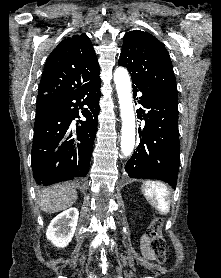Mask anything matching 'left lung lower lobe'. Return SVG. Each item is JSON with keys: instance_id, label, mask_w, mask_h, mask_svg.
Listing matches in <instances>:
<instances>
[{"instance_id": "obj_1", "label": "left lung lower lobe", "mask_w": 221, "mask_h": 278, "mask_svg": "<svg viewBox=\"0 0 221 278\" xmlns=\"http://www.w3.org/2000/svg\"><path fill=\"white\" fill-rule=\"evenodd\" d=\"M132 86L134 96L142 92L137 118L145 126L125 171L131 178L163 180L175 188L180 165L178 101L138 83Z\"/></svg>"}]
</instances>
